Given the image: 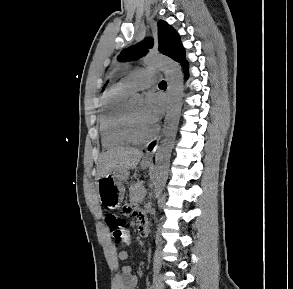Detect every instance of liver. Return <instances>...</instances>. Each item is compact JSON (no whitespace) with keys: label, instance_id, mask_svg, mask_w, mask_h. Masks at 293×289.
Listing matches in <instances>:
<instances>
[{"label":"liver","instance_id":"1","mask_svg":"<svg viewBox=\"0 0 293 289\" xmlns=\"http://www.w3.org/2000/svg\"><path fill=\"white\" fill-rule=\"evenodd\" d=\"M143 152L131 147H118L106 151L100 158L99 178L107 177L117 169H134L139 164Z\"/></svg>","mask_w":293,"mask_h":289}]
</instances>
